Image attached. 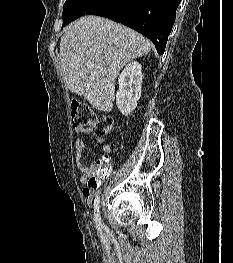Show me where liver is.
I'll return each instance as SVG.
<instances>
[{
	"mask_svg": "<svg viewBox=\"0 0 233 263\" xmlns=\"http://www.w3.org/2000/svg\"><path fill=\"white\" fill-rule=\"evenodd\" d=\"M151 46L143 35L122 24L92 15L81 17L65 28L60 41L66 86L95 109L110 112L120 70L147 55Z\"/></svg>",
	"mask_w": 233,
	"mask_h": 263,
	"instance_id": "obj_1",
	"label": "liver"
}]
</instances>
